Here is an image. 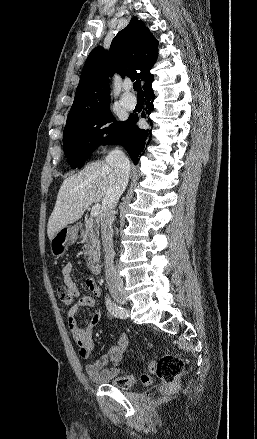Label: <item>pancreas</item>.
<instances>
[{
    "label": "pancreas",
    "instance_id": "obj_1",
    "mask_svg": "<svg viewBox=\"0 0 257 439\" xmlns=\"http://www.w3.org/2000/svg\"><path fill=\"white\" fill-rule=\"evenodd\" d=\"M81 239V243L84 244V255L88 257L87 266L89 267L98 257L100 246L97 223L92 219L85 221L84 228L81 230Z\"/></svg>",
    "mask_w": 257,
    "mask_h": 439
}]
</instances>
